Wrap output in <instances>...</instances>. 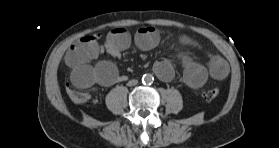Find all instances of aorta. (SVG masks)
Wrapping results in <instances>:
<instances>
[{"mask_svg":"<svg viewBox=\"0 0 279 148\" xmlns=\"http://www.w3.org/2000/svg\"><path fill=\"white\" fill-rule=\"evenodd\" d=\"M154 78L151 74H145L142 77V82L144 84H151L153 82Z\"/></svg>","mask_w":279,"mask_h":148,"instance_id":"762f6f07","label":"aorta"}]
</instances>
